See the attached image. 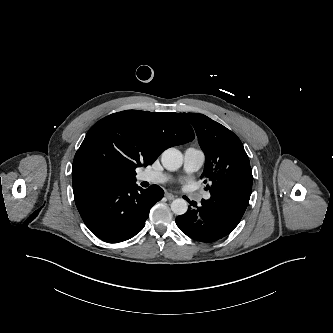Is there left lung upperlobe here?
Instances as JSON below:
<instances>
[{
    "label": "left lung upper lobe",
    "mask_w": 333,
    "mask_h": 333,
    "mask_svg": "<svg viewBox=\"0 0 333 333\" xmlns=\"http://www.w3.org/2000/svg\"><path fill=\"white\" fill-rule=\"evenodd\" d=\"M194 127L206 160L201 178L210 192L224 175L249 167V158L240 139L229 129L203 114L182 113Z\"/></svg>",
    "instance_id": "left-lung-upper-lobe-1"
}]
</instances>
